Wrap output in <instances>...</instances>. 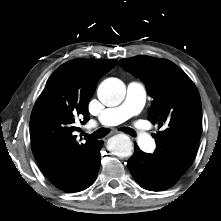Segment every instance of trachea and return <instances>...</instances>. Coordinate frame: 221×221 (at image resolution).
<instances>
[{
  "label": "trachea",
  "mask_w": 221,
  "mask_h": 221,
  "mask_svg": "<svg viewBox=\"0 0 221 221\" xmlns=\"http://www.w3.org/2000/svg\"><path fill=\"white\" fill-rule=\"evenodd\" d=\"M119 130L123 131L133 137L136 135L135 131L129 127H122ZM109 132H110V130L107 128H100L92 134L84 133V136L86 137V139H101V138L105 137Z\"/></svg>",
  "instance_id": "trachea-1"
}]
</instances>
